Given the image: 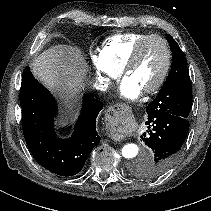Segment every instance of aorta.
I'll use <instances>...</instances> for the list:
<instances>
[{"label":"aorta","mask_w":211,"mask_h":211,"mask_svg":"<svg viewBox=\"0 0 211 211\" xmlns=\"http://www.w3.org/2000/svg\"><path fill=\"white\" fill-rule=\"evenodd\" d=\"M139 148L136 144H126L122 148V155L126 159H133L138 155Z\"/></svg>","instance_id":"aorta-1"}]
</instances>
